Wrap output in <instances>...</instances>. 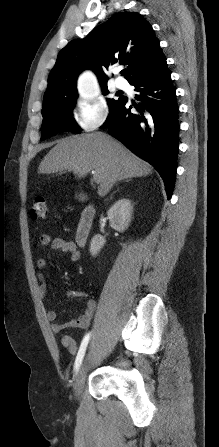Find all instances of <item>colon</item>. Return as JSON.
<instances>
[{
    "label": "colon",
    "mask_w": 219,
    "mask_h": 447,
    "mask_svg": "<svg viewBox=\"0 0 219 447\" xmlns=\"http://www.w3.org/2000/svg\"><path fill=\"white\" fill-rule=\"evenodd\" d=\"M30 216L34 220H43L48 216L46 199L42 196L35 197L30 209Z\"/></svg>",
    "instance_id": "1"
}]
</instances>
